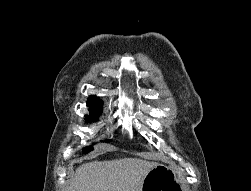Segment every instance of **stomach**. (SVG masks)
I'll use <instances>...</instances> for the list:
<instances>
[{
  "mask_svg": "<svg viewBox=\"0 0 251 191\" xmlns=\"http://www.w3.org/2000/svg\"><path fill=\"white\" fill-rule=\"evenodd\" d=\"M142 191H181V185L174 169L157 163L144 175Z\"/></svg>",
  "mask_w": 251,
  "mask_h": 191,
  "instance_id": "1",
  "label": "stomach"
}]
</instances>
